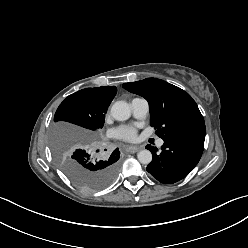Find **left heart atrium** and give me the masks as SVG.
<instances>
[{"label":"left heart atrium","mask_w":248,"mask_h":248,"mask_svg":"<svg viewBox=\"0 0 248 248\" xmlns=\"http://www.w3.org/2000/svg\"><path fill=\"white\" fill-rule=\"evenodd\" d=\"M115 135L126 141H132L136 137V127L131 125H123L115 129Z\"/></svg>","instance_id":"obj_1"}]
</instances>
